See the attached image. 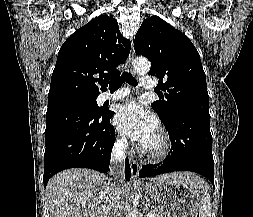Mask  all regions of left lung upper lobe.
Listing matches in <instances>:
<instances>
[{"label": "left lung upper lobe", "instance_id": "1", "mask_svg": "<svg viewBox=\"0 0 253 217\" xmlns=\"http://www.w3.org/2000/svg\"><path fill=\"white\" fill-rule=\"evenodd\" d=\"M135 52L151 61L162 100L151 104L163 123L174 116L209 114V96L200 55L189 38L157 16L145 19L135 36Z\"/></svg>", "mask_w": 253, "mask_h": 217}]
</instances>
